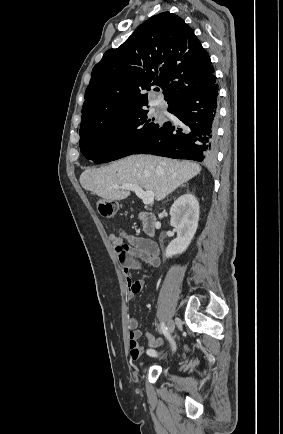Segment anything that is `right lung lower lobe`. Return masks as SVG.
I'll use <instances>...</instances> for the list:
<instances>
[{
	"label": "right lung lower lobe",
	"mask_w": 283,
	"mask_h": 434,
	"mask_svg": "<svg viewBox=\"0 0 283 434\" xmlns=\"http://www.w3.org/2000/svg\"><path fill=\"white\" fill-rule=\"evenodd\" d=\"M218 86L216 82L169 105L180 124L166 122L133 154L210 162L215 157Z\"/></svg>",
	"instance_id": "right-lung-lower-lobe-1"
}]
</instances>
